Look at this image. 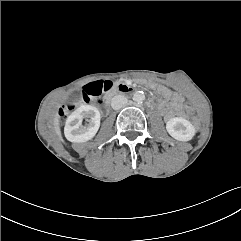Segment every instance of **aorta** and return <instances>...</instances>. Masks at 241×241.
Wrapping results in <instances>:
<instances>
[{"instance_id":"obj_1","label":"aorta","mask_w":241,"mask_h":241,"mask_svg":"<svg viewBox=\"0 0 241 241\" xmlns=\"http://www.w3.org/2000/svg\"><path fill=\"white\" fill-rule=\"evenodd\" d=\"M133 100L137 103H141L145 100V95L143 92H135L133 95Z\"/></svg>"}]
</instances>
